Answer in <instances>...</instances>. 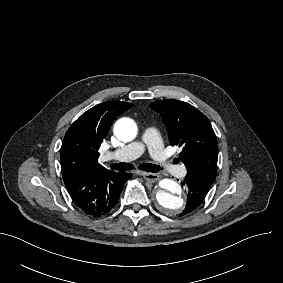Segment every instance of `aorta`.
I'll return each instance as SVG.
<instances>
[{
	"label": "aorta",
	"mask_w": 283,
	"mask_h": 283,
	"mask_svg": "<svg viewBox=\"0 0 283 283\" xmlns=\"http://www.w3.org/2000/svg\"><path fill=\"white\" fill-rule=\"evenodd\" d=\"M137 132L135 121L128 117L120 118L114 124V135L123 142L132 141ZM159 186L161 189L156 193L158 204L168 214H178L184 205L180 185L171 179H163L159 182Z\"/></svg>",
	"instance_id": "1"
}]
</instances>
